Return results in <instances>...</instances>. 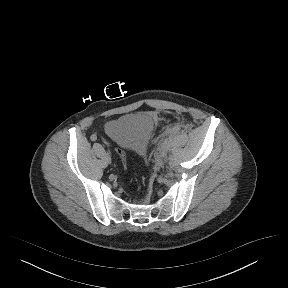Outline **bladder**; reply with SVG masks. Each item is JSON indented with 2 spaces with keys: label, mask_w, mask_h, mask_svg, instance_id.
<instances>
[{
  "label": "bladder",
  "mask_w": 288,
  "mask_h": 288,
  "mask_svg": "<svg viewBox=\"0 0 288 288\" xmlns=\"http://www.w3.org/2000/svg\"><path fill=\"white\" fill-rule=\"evenodd\" d=\"M155 128L153 116L136 113L123 116L105 127L106 134L131 151L141 152Z\"/></svg>",
  "instance_id": "31cf9c89"
}]
</instances>
